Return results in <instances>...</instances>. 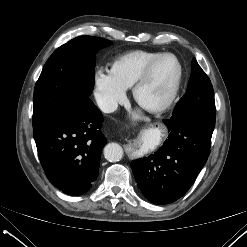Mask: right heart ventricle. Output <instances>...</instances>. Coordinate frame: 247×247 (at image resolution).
Segmentation results:
<instances>
[{
	"mask_svg": "<svg viewBox=\"0 0 247 247\" xmlns=\"http://www.w3.org/2000/svg\"><path fill=\"white\" fill-rule=\"evenodd\" d=\"M160 54L144 50L125 53L111 64L110 72L122 87L131 88L148 63Z\"/></svg>",
	"mask_w": 247,
	"mask_h": 247,
	"instance_id": "e07e8e85",
	"label": "right heart ventricle"
}]
</instances>
